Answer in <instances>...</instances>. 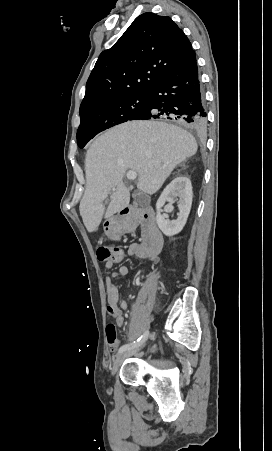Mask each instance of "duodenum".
Returning <instances> with one entry per match:
<instances>
[{"label": "duodenum", "mask_w": 272, "mask_h": 451, "mask_svg": "<svg viewBox=\"0 0 272 451\" xmlns=\"http://www.w3.org/2000/svg\"><path fill=\"white\" fill-rule=\"evenodd\" d=\"M106 225L108 234L114 239H119L141 226L142 243L132 250V253L139 257L155 256L162 250L163 236L156 225L154 213L150 207L143 210L125 208L118 219L111 220Z\"/></svg>", "instance_id": "1"}]
</instances>
